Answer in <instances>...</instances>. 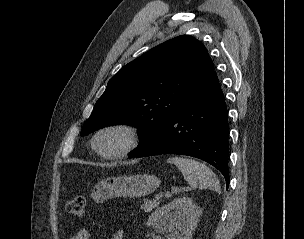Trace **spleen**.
<instances>
[{"label": "spleen", "mask_w": 304, "mask_h": 239, "mask_svg": "<svg viewBox=\"0 0 304 239\" xmlns=\"http://www.w3.org/2000/svg\"><path fill=\"white\" fill-rule=\"evenodd\" d=\"M167 162L179 168L191 188L221 191L219 180L205 164L183 157H171Z\"/></svg>", "instance_id": "spleen-1"}]
</instances>
